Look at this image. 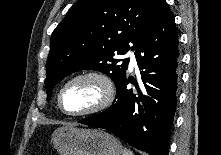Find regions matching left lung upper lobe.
<instances>
[{"label":"left lung upper lobe","mask_w":221,"mask_h":155,"mask_svg":"<svg viewBox=\"0 0 221 155\" xmlns=\"http://www.w3.org/2000/svg\"><path fill=\"white\" fill-rule=\"evenodd\" d=\"M165 0H80L70 8L51 36L46 92L67 75L83 70L101 71L116 87L126 76L129 59H115L133 44L134 50ZM123 61L122 64H119Z\"/></svg>","instance_id":"5c2ea615"}]
</instances>
